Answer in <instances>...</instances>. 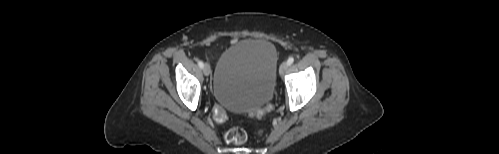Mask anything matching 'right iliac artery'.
<instances>
[{
    "label": "right iliac artery",
    "mask_w": 499,
    "mask_h": 154,
    "mask_svg": "<svg viewBox=\"0 0 499 154\" xmlns=\"http://www.w3.org/2000/svg\"><path fill=\"white\" fill-rule=\"evenodd\" d=\"M198 65H199V67H200V68H202V69H203V67H204V63H203L202 61H200V60H199V61H198Z\"/></svg>",
    "instance_id": "1"
}]
</instances>
